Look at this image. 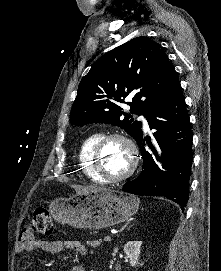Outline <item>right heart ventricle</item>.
I'll return each mask as SVG.
<instances>
[{
  "instance_id": "e07e8e85",
  "label": "right heart ventricle",
  "mask_w": 221,
  "mask_h": 271,
  "mask_svg": "<svg viewBox=\"0 0 221 271\" xmlns=\"http://www.w3.org/2000/svg\"><path fill=\"white\" fill-rule=\"evenodd\" d=\"M99 132H93L87 135L80 143L78 149V161L80 166L84 163L85 179H92L98 183H107V178H103L99 171H95V159L92 155V150H95V145L99 143ZM82 168V167H81Z\"/></svg>"
}]
</instances>
